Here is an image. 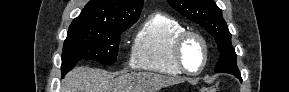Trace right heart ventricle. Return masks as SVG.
Instances as JSON below:
<instances>
[{
	"label": "right heart ventricle",
	"mask_w": 289,
	"mask_h": 92,
	"mask_svg": "<svg viewBox=\"0 0 289 92\" xmlns=\"http://www.w3.org/2000/svg\"><path fill=\"white\" fill-rule=\"evenodd\" d=\"M185 27L176 19L156 13L151 15L139 30L132 48L131 65L135 68L177 76L173 46Z\"/></svg>",
	"instance_id": "right-heart-ventricle-1"
}]
</instances>
